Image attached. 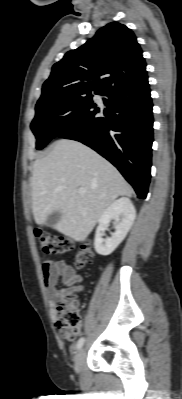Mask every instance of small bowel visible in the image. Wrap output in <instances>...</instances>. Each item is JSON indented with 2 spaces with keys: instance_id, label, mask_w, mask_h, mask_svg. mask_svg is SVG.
I'll use <instances>...</instances> for the list:
<instances>
[{
  "instance_id": "c3829d8e",
  "label": "small bowel",
  "mask_w": 182,
  "mask_h": 399,
  "mask_svg": "<svg viewBox=\"0 0 182 399\" xmlns=\"http://www.w3.org/2000/svg\"><path fill=\"white\" fill-rule=\"evenodd\" d=\"M42 276L48 297V304L51 309L52 320L57 323L56 308L59 302L65 298L80 292L83 286L80 285L81 276L75 269L64 260H46L41 267ZM59 281L62 285L59 286ZM79 334V329L75 333L73 339L67 338L61 331L60 335L67 340H74Z\"/></svg>"
}]
</instances>
